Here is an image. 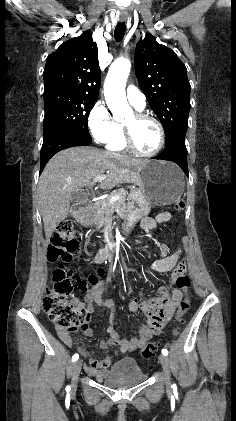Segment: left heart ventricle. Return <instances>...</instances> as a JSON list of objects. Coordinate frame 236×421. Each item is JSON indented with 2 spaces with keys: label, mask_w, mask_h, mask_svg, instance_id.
<instances>
[{
  "label": "left heart ventricle",
  "mask_w": 236,
  "mask_h": 421,
  "mask_svg": "<svg viewBox=\"0 0 236 421\" xmlns=\"http://www.w3.org/2000/svg\"><path fill=\"white\" fill-rule=\"evenodd\" d=\"M128 125L136 147L142 152H152L158 144L156 126L149 120L136 119L134 113L124 121Z\"/></svg>",
  "instance_id": "left-heart-ventricle-1"
}]
</instances>
